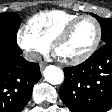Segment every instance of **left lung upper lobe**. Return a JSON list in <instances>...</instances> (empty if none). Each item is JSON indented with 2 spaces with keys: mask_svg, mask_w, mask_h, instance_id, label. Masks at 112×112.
I'll use <instances>...</instances> for the list:
<instances>
[{
  "mask_svg": "<svg viewBox=\"0 0 112 112\" xmlns=\"http://www.w3.org/2000/svg\"><path fill=\"white\" fill-rule=\"evenodd\" d=\"M100 23L102 29V40L104 44L112 43V19L102 18L92 14Z\"/></svg>",
  "mask_w": 112,
  "mask_h": 112,
  "instance_id": "obj_1",
  "label": "left lung upper lobe"
}]
</instances>
